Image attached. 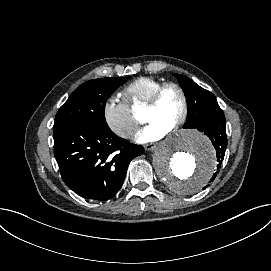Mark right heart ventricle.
I'll list each match as a JSON object with an SVG mask.
<instances>
[{
    "mask_svg": "<svg viewBox=\"0 0 271 271\" xmlns=\"http://www.w3.org/2000/svg\"><path fill=\"white\" fill-rule=\"evenodd\" d=\"M163 83L162 80L154 77H139L128 84L124 89V94L129 98L132 108L138 106H146L155 92V90Z\"/></svg>",
    "mask_w": 271,
    "mask_h": 271,
    "instance_id": "right-heart-ventricle-1",
    "label": "right heart ventricle"
}]
</instances>
